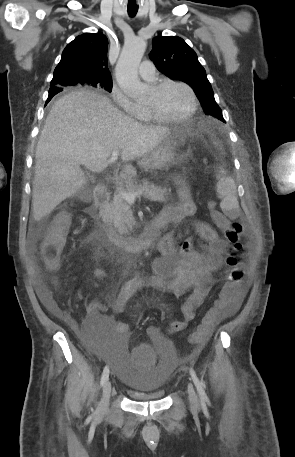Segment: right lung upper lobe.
<instances>
[{
  "instance_id": "obj_1",
  "label": "right lung upper lobe",
  "mask_w": 295,
  "mask_h": 457,
  "mask_svg": "<svg viewBox=\"0 0 295 457\" xmlns=\"http://www.w3.org/2000/svg\"><path fill=\"white\" fill-rule=\"evenodd\" d=\"M108 39L101 33H84L70 42L54 70L50 88L112 81L107 64Z\"/></svg>"
}]
</instances>
